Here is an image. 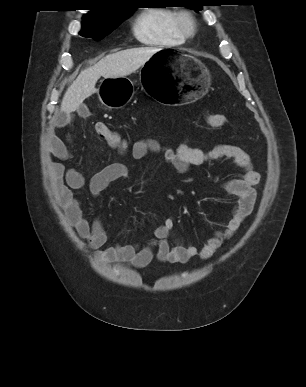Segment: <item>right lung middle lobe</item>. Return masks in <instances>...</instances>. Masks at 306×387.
Returning <instances> with one entry per match:
<instances>
[{
    "label": "right lung middle lobe",
    "mask_w": 306,
    "mask_h": 387,
    "mask_svg": "<svg viewBox=\"0 0 306 387\" xmlns=\"http://www.w3.org/2000/svg\"><path fill=\"white\" fill-rule=\"evenodd\" d=\"M133 13V9L125 8L118 15L106 21H83L80 35L94 40H101L112 32L124 19Z\"/></svg>",
    "instance_id": "obj_1"
}]
</instances>
